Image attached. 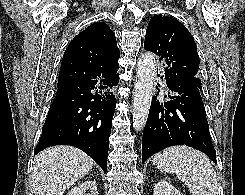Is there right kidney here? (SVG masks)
<instances>
[{"label":"right kidney","instance_id":"right-kidney-1","mask_svg":"<svg viewBox=\"0 0 245 195\" xmlns=\"http://www.w3.org/2000/svg\"><path fill=\"white\" fill-rule=\"evenodd\" d=\"M86 191L90 192L89 195H98L96 182L87 180L72 188L67 195H85Z\"/></svg>","mask_w":245,"mask_h":195}]
</instances>
